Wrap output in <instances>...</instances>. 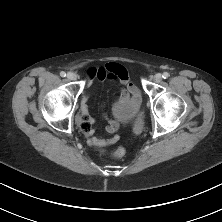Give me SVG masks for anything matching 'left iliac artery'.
<instances>
[{"label":"left iliac artery","instance_id":"44dca946","mask_svg":"<svg viewBox=\"0 0 222 222\" xmlns=\"http://www.w3.org/2000/svg\"><path fill=\"white\" fill-rule=\"evenodd\" d=\"M169 76H170V75H169L168 72H164L163 75H162V77H163L164 79H167Z\"/></svg>","mask_w":222,"mask_h":222}]
</instances>
